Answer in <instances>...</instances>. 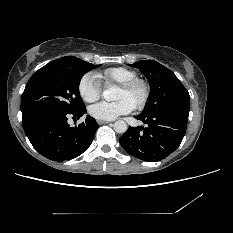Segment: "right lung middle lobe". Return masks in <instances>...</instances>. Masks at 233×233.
<instances>
[{
	"instance_id": "dd1d6c3e",
	"label": "right lung middle lobe",
	"mask_w": 233,
	"mask_h": 233,
	"mask_svg": "<svg viewBox=\"0 0 233 233\" xmlns=\"http://www.w3.org/2000/svg\"><path fill=\"white\" fill-rule=\"evenodd\" d=\"M99 66L73 56L43 66L32 75L22 94V121L49 111L75 113L84 109L79 94L80 80Z\"/></svg>"
}]
</instances>
